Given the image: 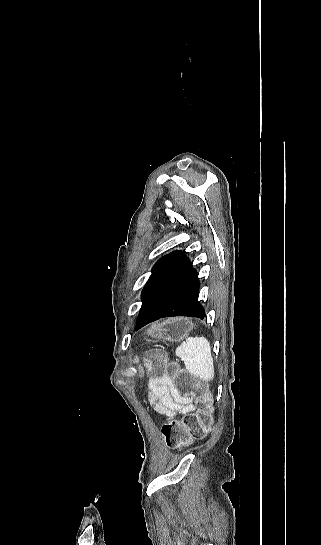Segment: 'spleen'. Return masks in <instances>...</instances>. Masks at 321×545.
Returning <instances> with one entry per match:
<instances>
[{"label":"spleen","mask_w":321,"mask_h":545,"mask_svg":"<svg viewBox=\"0 0 321 545\" xmlns=\"http://www.w3.org/2000/svg\"><path fill=\"white\" fill-rule=\"evenodd\" d=\"M176 357L194 377L201 381H213L214 363L209 341L205 337H189L175 351Z\"/></svg>","instance_id":"obj_1"}]
</instances>
